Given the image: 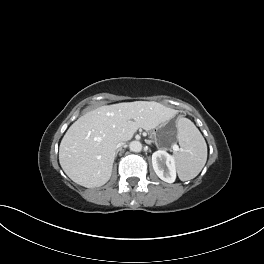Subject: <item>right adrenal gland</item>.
Segmentation results:
<instances>
[{
	"label": "right adrenal gland",
	"mask_w": 264,
	"mask_h": 264,
	"mask_svg": "<svg viewBox=\"0 0 264 264\" xmlns=\"http://www.w3.org/2000/svg\"><path fill=\"white\" fill-rule=\"evenodd\" d=\"M118 152H119V149L116 150V152H115V158L117 157Z\"/></svg>",
	"instance_id": "right-adrenal-gland-1"
}]
</instances>
